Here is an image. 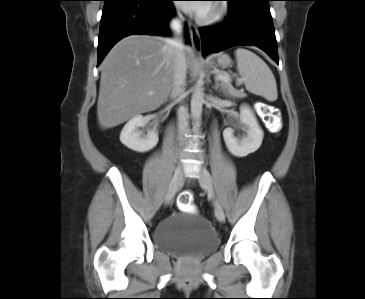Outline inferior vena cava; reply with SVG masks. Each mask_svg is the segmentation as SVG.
<instances>
[{
	"label": "inferior vena cava",
	"mask_w": 365,
	"mask_h": 299,
	"mask_svg": "<svg viewBox=\"0 0 365 299\" xmlns=\"http://www.w3.org/2000/svg\"><path fill=\"white\" fill-rule=\"evenodd\" d=\"M183 20H184L183 16L179 14V17L173 19L170 23V27L176 35L174 39H169V43L175 49L174 79L171 92L172 98H177L182 96L184 92V85L186 83L187 65L184 56L185 46L181 39ZM177 116H178V135L180 144L182 145L185 140V135H187L189 131L187 109L185 107H180L177 111Z\"/></svg>",
	"instance_id": "inferior-vena-cava-1"
}]
</instances>
